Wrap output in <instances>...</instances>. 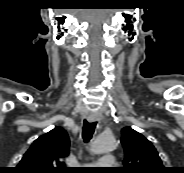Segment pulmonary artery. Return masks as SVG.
<instances>
[{"instance_id": "1", "label": "pulmonary artery", "mask_w": 184, "mask_h": 173, "mask_svg": "<svg viewBox=\"0 0 184 173\" xmlns=\"http://www.w3.org/2000/svg\"><path fill=\"white\" fill-rule=\"evenodd\" d=\"M114 164H115L114 157L111 156V155H106V156H103L98 163H95V164L91 165V167H93V166H103V168H110Z\"/></svg>"}]
</instances>
